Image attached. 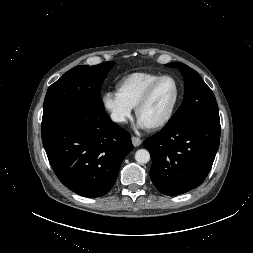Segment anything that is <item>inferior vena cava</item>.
Here are the masks:
<instances>
[{"label": "inferior vena cava", "instance_id": "602c4592", "mask_svg": "<svg viewBox=\"0 0 253 253\" xmlns=\"http://www.w3.org/2000/svg\"><path fill=\"white\" fill-rule=\"evenodd\" d=\"M111 119H112L114 122H124V121H125L124 116H122V115H120V114H116V113H112V114H111Z\"/></svg>", "mask_w": 253, "mask_h": 253}]
</instances>
